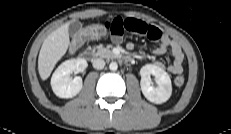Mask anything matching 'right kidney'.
Masks as SVG:
<instances>
[{"instance_id": "obj_1", "label": "right kidney", "mask_w": 231, "mask_h": 134, "mask_svg": "<svg viewBox=\"0 0 231 134\" xmlns=\"http://www.w3.org/2000/svg\"><path fill=\"white\" fill-rule=\"evenodd\" d=\"M85 59H70L63 62L53 73L51 87L56 96L60 98H72L82 89V78L77 76L70 77L71 73H79L87 68Z\"/></svg>"}]
</instances>
